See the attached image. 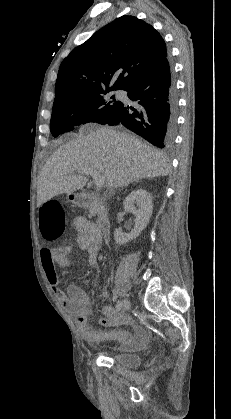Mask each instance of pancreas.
<instances>
[{
	"label": "pancreas",
	"instance_id": "cf45deb5",
	"mask_svg": "<svg viewBox=\"0 0 231 419\" xmlns=\"http://www.w3.org/2000/svg\"><path fill=\"white\" fill-rule=\"evenodd\" d=\"M89 212H90V215L89 216L91 217V216L96 215L97 210H96V208L94 206H90Z\"/></svg>",
	"mask_w": 231,
	"mask_h": 419
}]
</instances>
